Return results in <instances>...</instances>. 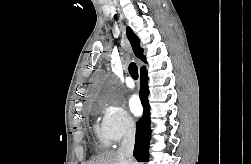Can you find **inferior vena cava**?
I'll list each match as a JSON object with an SVG mask.
<instances>
[{
    "label": "inferior vena cava",
    "instance_id": "602c4592",
    "mask_svg": "<svg viewBox=\"0 0 251 164\" xmlns=\"http://www.w3.org/2000/svg\"><path fill=\"white\" fill-rule=\"evenodd\" d=\"M135 144V124L129 121L126 126V132L123 141L119 147L118 153L123 164H135L133 161V150Z\"/></svg>",
    "mask_w": 251,
    "mask_h": 164
}]
</instances>
